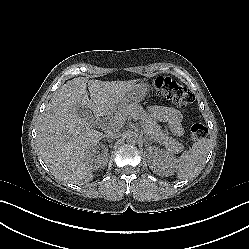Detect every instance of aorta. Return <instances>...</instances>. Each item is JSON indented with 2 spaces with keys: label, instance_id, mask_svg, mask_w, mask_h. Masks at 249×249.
<instances>
[{
  "label": "aorta",
  "instance_id": "762f6f07",
  "mask_svg": "<svg viewBox=\"0 0 249 249\" xmlns=\"http://www.w3.org/2000/svg\"><path fill=\"white\" fill-rule=\"evenodd\" d=\"M138 139H139V136H138V134L135 133V132H130V133H128L127 136H126V141H127L128 143H130V144L136 143V142L138 141Z\"/></svg>",
  "mask_w": 249,
  "mask_h": 249
}]
</instances>
